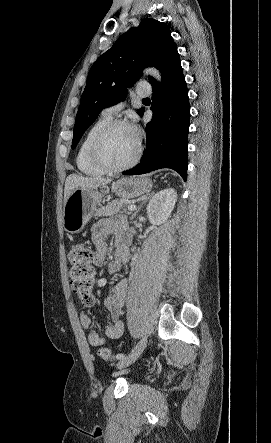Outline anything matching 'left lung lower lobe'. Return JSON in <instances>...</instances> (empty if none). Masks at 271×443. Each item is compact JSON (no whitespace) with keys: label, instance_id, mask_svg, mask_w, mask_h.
Returning a JSON list of instances; mask_svg holds the SVG:
<instances>
[{"label":"left lung lower lobe","instance_id":"0a47b994","mask_svg":"<svg viewBox=\"0 0 271 443\" xmlns=\"http://www.w3.org/2000/svg\"><path fill=\"white\" fill-rule=\"evenodd\" d=\"M157 69L162 73L163 82L159 84L149 78L154 92L153 117L146 125V149L140 163L123 174L138 175L171 168L186 181L190 106L176 47L159 62ZM143 112L144 109L139 115Z\"/></svg>","mask_w":271,"mask_h":443}]
</instances>
